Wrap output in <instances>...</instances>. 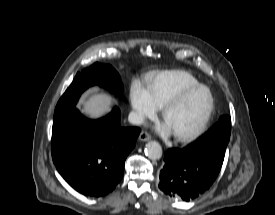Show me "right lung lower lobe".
Listing matches in <instances>:
<instances>
[{
  "label": "right lung lower lobe",
  "mask_w": 275,
  "mask_h": 215,
  "mask_svg": "<svg viewBox=\"0 0 275 215\" xmlns=\"http://www.w3.org/2000/svg\"><path fill=\"white\" fill-rule=\"evenodd\" d=\"M120 110L98 120L85 118L76 108L54 113L52 159L76 191L100 197L122 179L124 163L140 133L137 127H121Z\"/></svg>",
  "instance_id": "98d812e1"
}]
</instances>
